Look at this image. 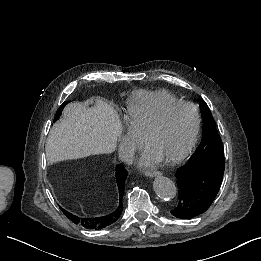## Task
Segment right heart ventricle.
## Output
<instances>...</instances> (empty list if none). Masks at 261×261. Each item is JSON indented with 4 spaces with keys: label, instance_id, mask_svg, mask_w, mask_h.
I'll return each instance as SVG.
<instances>
[{
    "label": "right heart ventricle",
    "instance_id": "obj_1",
    "mask_svg": "<svg viewBox=\"0 0 261 261\" xmlns=\"http://www.w3.org/2000/svg\"><path fill=\"white\" fill-rule=\"evenodd\" d=\"M178 101L180 99L167 89H141L124 97L120 106L126 119L137 121L142 116L157 112L167 103Z\"/></svg>",
    "mask_w": 261,
    "mask_h": 261
}]
</instances>
